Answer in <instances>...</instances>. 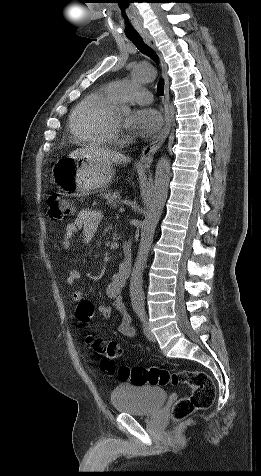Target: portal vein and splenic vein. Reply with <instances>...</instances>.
Returning a JSON list of instances; mask_svg holds the SVG:
<instances>
[{
	"label": "portal vein and splenic vein",
	"instance_id": "18ae733b",
	"mask_svg": "<svg viewBox=\"0 0 261 476\" xmlns=\"http://www.w3.org/2000/svg\"><path fill=\"white\" fill-rule=\"evenodd\" d=\"M119 211H120V212H124L125 209H124L123 207H120Z\"/></svg>",
	"mask_w": 261,
	"mask_h": 476
}]
</instances>
